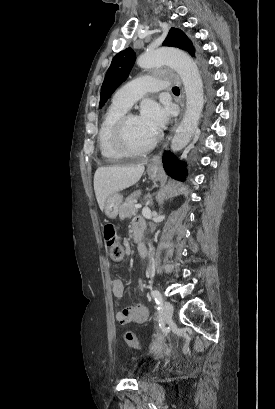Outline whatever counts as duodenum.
Masks as SVG:
<instances>
[{
    "instance_id": "410a0bca",
    "label": "duodenum",
    "mask_w": 275,
    "mask_h": 409,
    "mask_svg": "<svg viewBox=\"0 0 275 409\" xmlns=\"http://www.w3.org/2000/svg\"><path fill=\"white\" fill-rule=\"evenodd\" d=\"M144 234V224L142 222H138L134 224L133 226V235H134V240L136 242H139Z\"/></svg>"
}]
</instances>
